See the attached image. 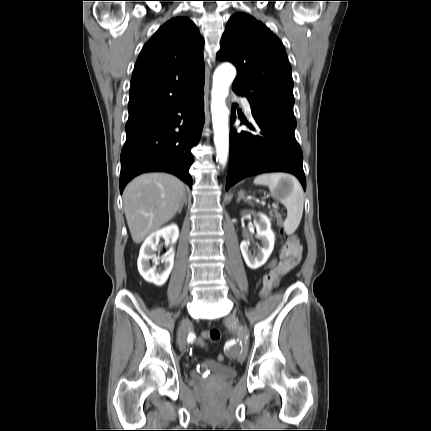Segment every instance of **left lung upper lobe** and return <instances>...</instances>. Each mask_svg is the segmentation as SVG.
Returning a JSON list of instances; mask_svg holds the SVG:
<instances>
[{"label":"left lung upper lobe","mask_w":431,"mask_h":431,"mask_svg":"<svg viewBox=\"0 0 431 431\" xmlns=\"http://www.w3.org/2000/svg\"><path fill=\"white\" fill-rule=\"evenodd\" d=\"M217 58L237 68L232 88L254 108L295 119L291 66L282 42L250 15H233Z\"/></svg>","instance_id":"1"}]
</instances>
